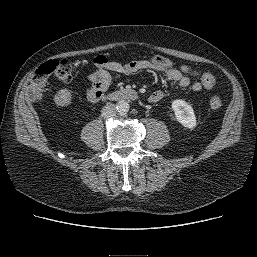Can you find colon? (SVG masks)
<instances>
[{"mask_svg": "<svg viewBox=\"0 0 257 257\" xmlns=\"http://www.w3.org/2000/svg\"><path fill=\"white\" fill-rule=\"evenodd\" d=\"M151 62L162 67H173V63L163 56H152L149 58ZM183 74L195 76L201 82L204 88L211 89L216 84L215 77L210 73H198L189 66H181L177 68ZM50 76H54L62 83H69L72 80V63L68 59L63 60H49L38 67L35 71L32 83L29 87L28 94L31 99H39L42 89ZM55 102L59 106H67L71 103V94L67 90L60 91L56 97ZM209 104L212 109H219L222 106L220 96L214 94L209 99Z\"/></svg>", "mask_w": 257, "mask_h": 257, "instance_id": "1", "label": "colon"}]
</instances>
